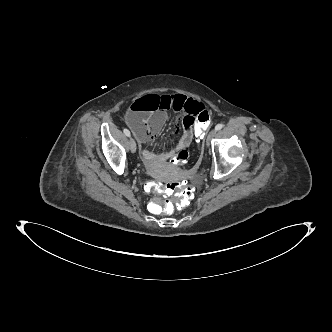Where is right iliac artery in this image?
Wrapping results in <instances>:
<instances>
[{"instance_id":"right-iliac-artery-1","label":"right iliac artery","mask_w":332,"mask_h":332,"mask_svg":"<svg viewBox=\"0 0 332 332\" xmlns=\"http://www.w3.org/2000/svg\"><path fill=\"white\" fill-rule=\"evenodd\" d=\"M123 132L126 136L130 137V131L128 129H124Z\"/></svg>"}]
</instances>
